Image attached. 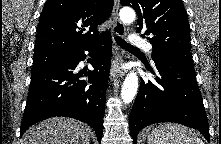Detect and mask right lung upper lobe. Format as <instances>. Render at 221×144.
<instances>
[{
    "mask_svg": "<svg viewBox=\"0 0 221 144\" xmlns=\"http://www.w3.org/2000/svg\"><path fill=\"white\" fill-rule=\"evenodd\" d=\"M113 0H47L42 10L34 54H72L108 32L97 26L110 16Z\"/></svg>",
    "mask_w": 221,
    "mask_h": 144,
    "instance_id": "1",
    "label": "right lung upper lobe"
}]
</instances>
